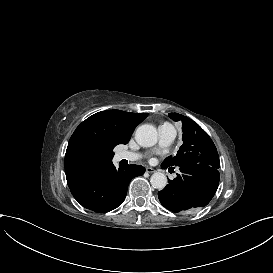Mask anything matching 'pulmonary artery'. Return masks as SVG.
I'll list each match as a JSON object with an SVG mask.
<instances>
[{
    "instance_id": "1",
    "label": "pulmonary artery",
    "mask_w": 273,
    "mask_h": 273,
    "mask_svg": "<svg viewBox=\"0 0 273 273\" xmlns=\"http://www.w3.org/2000/svg\"><path fill=\"white\" fill-rule=\"evenodd\" d=\"M176 126L173 123H168L167 125H163L161 127V133L164 135L162 139L158 140L157 145L160 148L167 147L173 143V141L176 138ZM148 153L145 150H137L132 152L123 151L120 153L119 158L122 161H125L127 159H145L147 158Z\"/></svg>"
}]
</instances>
